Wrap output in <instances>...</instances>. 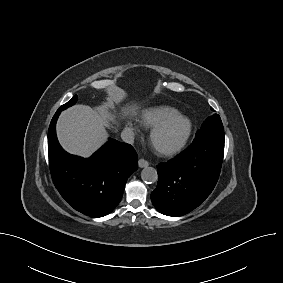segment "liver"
I'll return each instance as SVG.
<instances>
[{
	"instance_id": "liver-1",
	"label": "liver",
	"mask_w": 283,
	"mask_h": 283,
	"mask_svg": "<svg viewBox=\"0 0 283 283\" xmlns=\"http://www.w3.org/2000/svg\"><path fill=\"white\" fill-rule=\"evenodd\" d=\"M57 135L66 151L89 157L104 143L107 132L97 111L86 105H75L62 112L57 123Z\"/></svg>"
}]
</instances>
